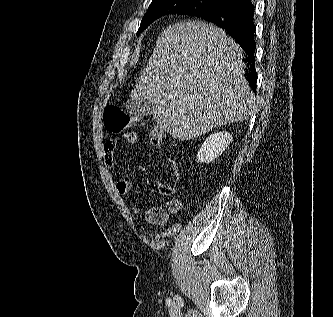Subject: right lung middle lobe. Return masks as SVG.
Segmentation results:
<instances>
[{"label":"right lung middle lobe","instance_id":"right-lung-middle-lobe-1","mask_svg":"<svg viewBox=\"0 0 333 317\" xmlns=\"http://www.w3.org/2000/svg\"><path fill=\"white\" fill-rule=\"evenodd\" d=\"M226 3L227 0H152L144 15L138 33L146 29L156 19L169 14L195 15L213 10Z\"/></svg>","mask_w":333,"mask_h":317}]
</instances>
